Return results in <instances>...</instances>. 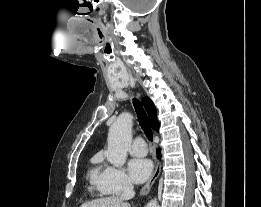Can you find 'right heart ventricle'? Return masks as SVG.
<instances>
[{
    "instance_id": "1",
    "label": "right heart ventricle",
    "mask_w": 261,
    "mask_h": 207,
    "mask_svg": "<svg viewBox=\"0 0 261 207\" xmlns=\"http://www.w3.org/2000/svg\"><path fill=\"white\" fill-rule=\"evenodd\" d=\"M100 162H101V156L100 155H96L92 158V160H91L92 166L89 170V177H90V181H91V184L93 185V187L99 193L104 194L98 186V178H99V175L101 173V171L99 170Z\"/></svg>"
}]
</instances>
